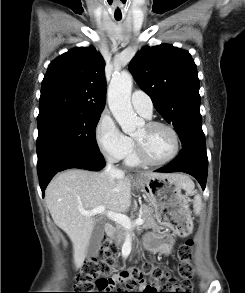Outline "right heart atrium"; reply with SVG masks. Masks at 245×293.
<instances>
[{"mask_svg":"<svg viewBox=\"0 0 245 293\" xmlns=\"http://www.w3.org/2000/svg\"><path fill=\"white\" fill-rule=\"evenodd\" d=\"M95 135L101 151L111 160L123 159L133 149L132 139L124 135L109 116L100 117Z\"/></svg>","mask_w":245,"mask_h":293,"instance_id":"obj_1","label":"right heart atrium"}]
</instances>
